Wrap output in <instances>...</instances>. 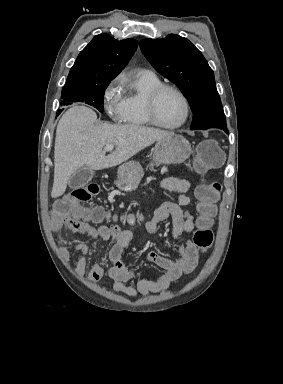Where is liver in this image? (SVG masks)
I'll return each mask as SVG.
<instances>
[{"mask_svg":"<svg viewBox=\"0 0 283 384\" xmlns=\"http://www.w3.org/2000/svg\"><path fill=\"white\" fill-rule=\"evenodd\" d=\"M97 114L86 106H73L60 118L54 148V182L52 198L64 194L67 184L80 170H104L126 162L144 148L174 132L146 128L140 124H100ZM114 144L116 150L105 156L103 148Z\"/></svg>","mask_w":283,"mask_h":384,"instance_id":"1","label":"liver"}]
</instances>
